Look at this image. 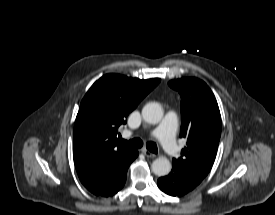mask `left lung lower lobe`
<instances>
[{"label":"left lung lower lobe","instance_id":"obj_1","mask_svg":"<svg viewBox=\"0 0 275 215\" xmlns=\"http://www.w3.org/2000/svg\"><path fill=\"white\" fill-rule=\"evenodd\" d=\"M202 180L203 178L200 176L191 174L182 167L173 164L171 172L167 176L159 178L157 185L166 194L180 197L192 191Z\"/></svg>","mask_w":275,"mask_h":215}]
</instances>
